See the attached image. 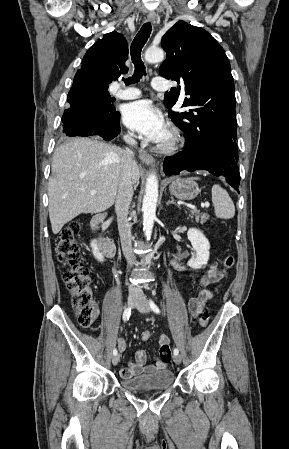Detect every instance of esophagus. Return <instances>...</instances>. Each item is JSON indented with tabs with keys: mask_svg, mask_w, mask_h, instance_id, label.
Here are the masks:
<instances>
[{
	"mask_svg": "<svg viewBox=\"0 0 289 449\" xmlns=\"http://www.w3.org/2000/svg\"><path fill=\"white\" fill-rule=\"evenodd\" d=\"M147 20H148L149 22H155V20H156V14H155V13H149V14L147 15ZM138 156H139V158H140L144 163H146V164H148V165H153V164H155L154 158H153L150 154H148L147 152H145V151L139 150V151H138Z\"/></svg>",
	"mask_w": 289,
	"mask_h": 449,
	"instance_id": "34e87169",
	"label": "esophagus"
}]
</instances>
